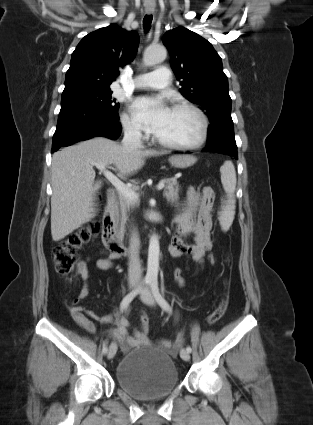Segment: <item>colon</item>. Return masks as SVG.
I'll return each instance as SVG.
<instances>
[{
	"instance_id": "1",
	"label": "colon",
	"mask_w": 313,
	"mask_h": 425,
	"mask_svg": "<svg viewBox=\"0 0 313 425\" xmlns=\"http://www.w3.org/2000/svg\"><path fill=\"white\" fill-rule=\"evenodd\" d=\"M99 232V225L97 222H91L86 226L69 234L66 238L61 240L52 251L53 260L56 271L61 275H69L76 268L82 269V264L79 261L78 252L94 238ZM216 257L213 254L208 255V262L214 264ZM174 281L177 288H184L187 285V279L181 269H177L174 273ZM228 306V297L225 296L218 307L207 317L210 324L217 322L224 315ZM149 330V321L147 317L142 319L140 335L146 339Z\"/></svg>"
}]
</instances>
